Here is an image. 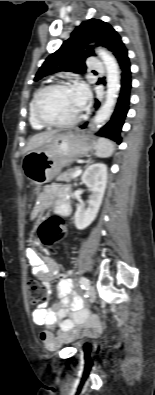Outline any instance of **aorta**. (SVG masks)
<instances>
[{"mask_svg":"<svg viewBox=\"0 0 155 395\" xmlns=\"http://www.w3.org/2000/svg\"><path fill=\"white\" fill-rule=\"evenodd\" d=\"M98 55L102 59L107 72V90L104 104L97 111L94 125L104 124L112 115L120 91V72L115 58L106 50L100 49Z\"/></svg>","mask_w":155,"mask_h":395,"instance_id":"obj_1","label":"aorta"}]
</instances>
